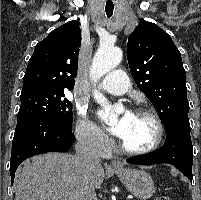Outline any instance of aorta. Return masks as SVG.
Here are the masks:
<instances>
[{
    "label": "aorta",
    "mask_w": 201,
    "mask_h": 200,
    "mask_svg": "<svg viewBox=\"0 0 201 200\" xmlns=\"http://www.w3.org/2000/svg\"><path fill=\"white\" fill-rule=\"evenodd\" d=\"M122 60V51L113 44L101 43L98 51L94 55L90 77L94 82H97L110 70L114 69ZM95 100L102 106L107 105V99L100 93H94ZM116 120V115L112 113L109 117L110 122Z\"/></svg>",
    "instance_id": "aorta-1"
}]
</instances>
